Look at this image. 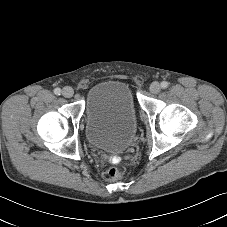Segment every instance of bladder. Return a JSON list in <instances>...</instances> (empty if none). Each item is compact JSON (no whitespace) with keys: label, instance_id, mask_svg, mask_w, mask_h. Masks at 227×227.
<instances>
[{"label":"bladder","instance_id":"obj_1","mask_svg":"<svg viewBox=\"0 0 227 227\" xmlns=\"http://www.w3.org/2000/svg\"><path fill=\"white\" fill-rule=\"evenodd\" d=\"M137 111L129 86L121 81H105L90 89L85 107V135L101 150L118 153L134 141Z\"/></svg>","mask_w":227,"mask_h":227}]
</instances>
